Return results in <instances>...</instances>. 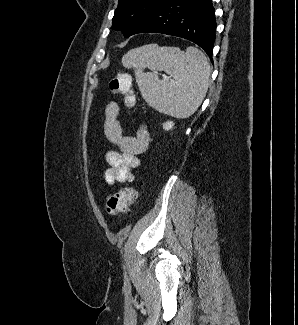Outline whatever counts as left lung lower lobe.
Wrapping results in <instances>:
<instances>
[{
  "mask_svg": "<svg viewBox=\"0 0 298 325\" xmlns=\"http://www.w3.org/2000/svg\"><path fill=\"white\" fill-rule=\"evenodd\" d=\"M212 0H165L134 32L162 33L199 45L212 61L216 21Z\"/></svg>",
  "mask_w": 298,
  "mask_h": 325,
  "instance_id": "1",
  "label": "left lung lower lobe"
}]
</instances>
